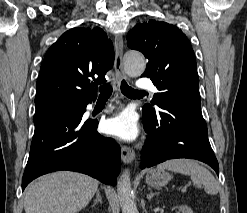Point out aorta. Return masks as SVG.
Returning <instances> with one entry per match:
<instances>
[{"instance_id": "762f6f07", "label": "aorta", "mask_w": 247, "mask_h": 213, "mask_svg": "<svg viewBox=\"0 0 247 213\" xmlns=\"http://www.w3.org/2000/svg\"><path fill=\"white\" fill-rule=\"evenodd\" d=\"M146 68L144 56L137 51H128L124 55V70L129 76H140ZM117 192L122 202V213H139L131 199V182L128 170L124 171L117 183Z\"/></svg>"}]
</instances>
